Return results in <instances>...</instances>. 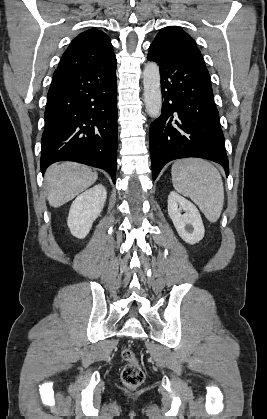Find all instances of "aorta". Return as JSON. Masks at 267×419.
Segmentation results:
<instances>
[{
    "label": "aorta",
    "mask_w": 267,
    "mask_h": 419,
    "mask_svg": "<svg viewBox=\"0 0 267 419\" xmlns=\"http://www.w3.org/2000/svg\"><path fill=\"white\" fill-rule=\"evenodd\" d=\"M144 101L146 111L152 118L161 114L162 95L159 67L155 62L146 64L143 72Z\"/></svg>",
    "instance_id": "obj_1"
}]
</instances>
